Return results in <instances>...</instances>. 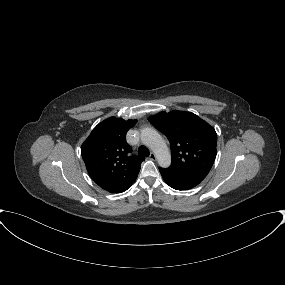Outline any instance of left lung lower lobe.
Returning a JSON list of instances; mask_svg holds the SVG:
<instances>
[{
	"mask_svg": "<svg viewBox=\"0 0 285 285\" xmlns=\"http://www.w3.org/2000/svg\"><path fill=\"white\" fill-rule=\"evenodd\" d=\"M164 181L176 190H189L197 186L208 173L179 172L171 168H159Z\"/></svg>",
	"mask_w": 285,
	"mask_h": 285,
	"instance_id": "1",
	"label": "left lung lower lobe"
}]
</instances>
